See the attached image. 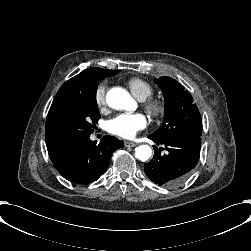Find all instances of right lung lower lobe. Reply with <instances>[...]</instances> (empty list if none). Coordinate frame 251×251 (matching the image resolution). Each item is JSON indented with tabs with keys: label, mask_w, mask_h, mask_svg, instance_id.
<instances>
[{
	"label": "right lung lower lobe",
	"mask_w": 251,
	"mask_h": 251,
	"mask_svg": "<svg viewBox=\"0 0 251 251\" xmlns=\"http://www.w3.org/2000/svg\"><path fill=\"white\" fill-rule=\"evenodd\" d=\"M90 136L70 140L48 151L57 171L68 181L89 184L100 178L106 171L114 150L124 142L113 136H105L96 145Z\"/></svg>",
	"instance_id": "obj_1"
}]
</instances>
